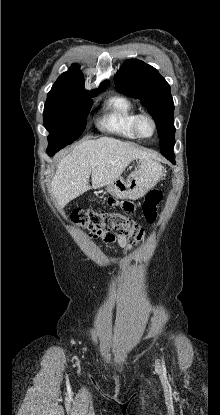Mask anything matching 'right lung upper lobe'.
<instances>
[{
  "label": "right lung upper lobe",
  "mask_w": 220,
  "mask_h": 415,
  "mask_svg": "<svg viewBox=\"0 0 220 415\" xmlns=\"http://www.w3.org/2000/svg\"><path fill=\"white\" fill-rule=\"evenodd\" d=\"M78 68L79 66L77 64H73L67 72H64L62 75H60L54 83L51 91L76 94H91L105 90L109 85V81H105L101 84L98 90L87 92L83 87V75Z\"/></svg>",
  "instance_id": "obj_1"
}]
</instances>
